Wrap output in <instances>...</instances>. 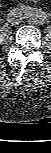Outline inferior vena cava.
I'll list each match as a JSON object with an SVG mask.
<instances>
[{"label":"inferior vena cava","instance_id":"obj_1","mask_svg":"<svg viewBox=\"0 0 51 153\" xmlns=\"http://www.w3.org/2000/svg\"><path fill=\"white\" fill-rule=\"evenodd\" d=\"M7 20L15 25L23 21V13L20 9H13L8 13Z\"/></svg>","mask_w":51,"mask_h":153}]
</instances>
